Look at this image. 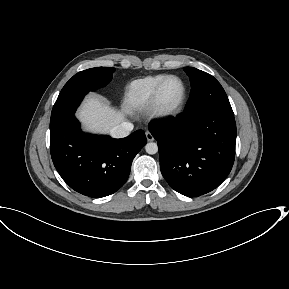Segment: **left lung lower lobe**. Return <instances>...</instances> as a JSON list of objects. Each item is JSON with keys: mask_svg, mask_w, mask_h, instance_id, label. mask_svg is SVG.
Masks as SVG:
<instances>
[{"mask_svg": "<svg viewBox=\"0 0 289 289\" xmlns=\"http://www.w3.org/2000/svg\"><path fill=\"white\" fill-rule=\"evenodd\" d=\"M149 130L158 141L161 173L180 194H206L230 173L236 142L233 112L196 108L153 120Z\"/></svg>", "mask_w": 289, "mask_h": 289, "instance_id": "0a47b994", "label": "left lung lower lobe"}]
</instances>
